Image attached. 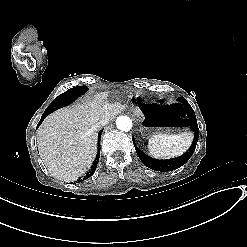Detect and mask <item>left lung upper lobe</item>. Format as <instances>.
<instances>
[{"instance_id":"obj_1","label":"left lung upper lobe","mask_w":247,"mask_h":247,"mask_svg":"<svg viewBox=\"0 0 247 247\" xmlns=\"http://www.w3.org/2000/svg\"><path fill=\"white\" fill-rule=\"evenodd\" d=\"M178 100H180L181 102L186 101L185 98H183V97L178 98Z\"/></svg>"}]
</instances>
